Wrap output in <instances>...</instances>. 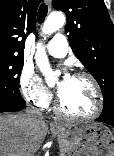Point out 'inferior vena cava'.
Segmentation results:
<instances>
[{
	"mask_svg": "<svg viewBox=\"0 0 114 156\" xmlns=\"http://www.w3.org/2000/svg\"><path fill=\"white\" fill-rule=\"evenodd\" d=\"M26 115L29 118L35 119V120L43 119L41 110L37 107L30 106V105L26 108Z\"/></svg>",
	"mask_w": 114,
	"mask_h": 156,
	"instance_id": "inferior-vena-cava-1",
	"label": "inferior vena cava"
}]
</instances>
